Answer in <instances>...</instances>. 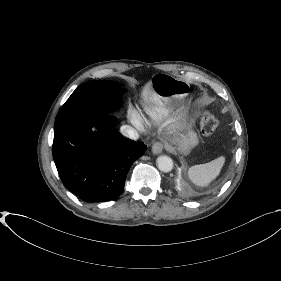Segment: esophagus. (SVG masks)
<instances>
[{"label":"esophagus","instance_id":"esophagus-1","mask_svg":"<svg viewBox=\"0 0 281 281\" xmlns=\"http://www.w3.org/2000/svg\"><path fill=\"white\" fill-rule=\"evenodd\" d=\"M164 149V144L162 142H155L152 145V153L157 155L160 154Z\"/></svg>","mask_w":281,"mask_h":281}]
</instances>
